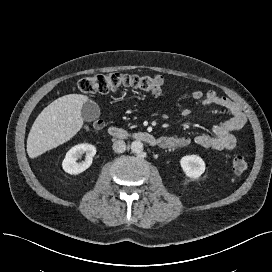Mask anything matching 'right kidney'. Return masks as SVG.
<instances>
[{"mask_svg":"<svg viewBox=\"0 0 272 272\" xmlns=\"http://www.w3.org/2000/svg\"><path fill=\"white\" fill-rule=\"evenodd\" d=\"M84 153L86 154L85 160L78 163L77 160ZM95 154L96 148L91 144L82 143L75 145L66 153V156L62 162L63 170L72 175L80 174L90 167Z\"/></svg>","mask_w":272,"mask_h":272,"instance_id":"ca27d5eb","label":"right kidney"}]
</instances>
